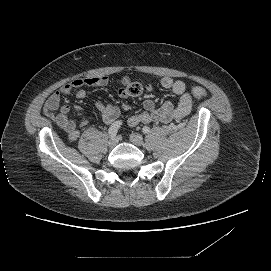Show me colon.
<instances>
[{"mask_svg":"<svg viewBox=\"0 0 271 271\" xmlns=\"http://www.w3.org/2000/svg\"><path fill=\"white\" fill-rule=\"evenodd\" d=\"M144 89H148L140 82H131L127 87V92L129 96H138L140 95ZM191 95L195 98H205L207 96V92L202 87H194L190 91Z\"/></svg>","mask_w":271,"mask_h":271,"instance_id":"5ec220e1","label":"colon"}]
</instances>
